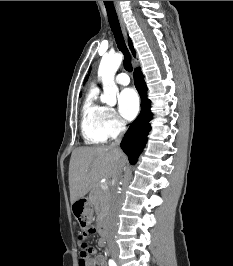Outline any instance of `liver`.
Here are the masks:
<instances>
[{"label": "liver", "mask_w": 233, "mask_h": 266, "mask_svg": "<svg viewBox=\"0 0 233 266\" xmlns=\"http://www.w3.org/2000/svg\"><path fill=\"white\" fill-rule=\"evenodd\" d=\"M127 164L126 155L113 146L79 147L69 163L70 201L83 198L103 178L117 179Z\"/></svg>", "instance_id": "liver-1"}]
</instances>
